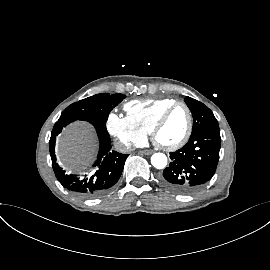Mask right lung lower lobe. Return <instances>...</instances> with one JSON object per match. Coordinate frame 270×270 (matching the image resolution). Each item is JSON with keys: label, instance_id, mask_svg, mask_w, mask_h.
<instances>
[{"label": "right lung lower lobe", "instance_id": "obj_1", "mask_svg": "<svg viewBox=\"0 0 270 270\" xmlns=\"http://www.w3.org/2000/svg\"><path fill=\"white\" fill-rule=\"evenodd\" d=\"M75 120H83L91 123L95 127L99 138L100 150L97 160L93 165L95 170L90 177L79 178L74 175H67L56 163L54 150L56 136L66 125ZM49 149L53 170L58 181L68 190L83 197L98 196L112 187L119 180L128 157L126 154L111 150V140L106 129V123L93 118L58 120L52 130Z\"/></svg>", "mask_w": 270, "mask_h": 270}]
</instances>
